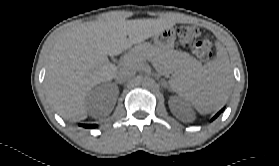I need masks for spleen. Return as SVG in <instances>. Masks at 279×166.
Returning <instances> with one entry per match:
<instances>
[{
  "mask_svg": "<svg viewBox=\"0 0 279 166\" xmlns=\"http://www.w3.org/2000/svg\"><path fill=\"white\" fill-rule=\"evenodd\" d=\"M233 81L226 51L218 46L217 57L187 74L169 81L170 88L190 102L200 113H209L227 101Z\"/></svg>",
  "mask_w": 279,
  "mask_h": 166,
  "instance_id": "1",
  "label": "spleen"
}]
</instances>
